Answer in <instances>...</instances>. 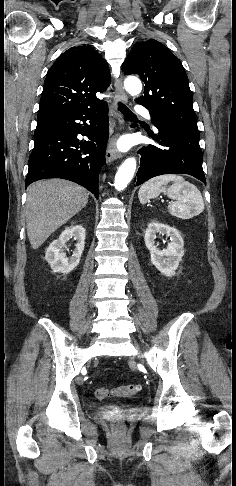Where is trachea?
I'll return each mask as SVG.
<instances>
[{"mask_svg":"<svg viewBox=\"0 0 236 486\" xmlns=\"http://www.w3.org/2000/svg\"><path fill=\"white\" fill-rule=\"evenodd\" d=\"M118 110L129 120L136 119V116L122 103H119Z\"/></svg>","mask_w":236,"mask_h":486,"instance_id":"1","label":"trachea"}]
</instances>
